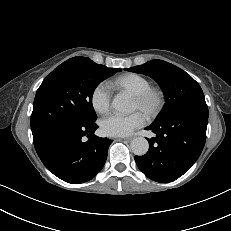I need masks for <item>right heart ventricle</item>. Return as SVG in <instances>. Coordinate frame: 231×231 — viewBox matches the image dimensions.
<instances>
[{
  "mask_svg": "<svg viewBox=\"0 0 231 231\" xmlns=\"http://www.w3.org/2000/svg\"><path fill=\"white\" fill-rule=\"evenodd\" d=\"M109 86L112 89L127 91L133 95L150 87L151 82L141 74L129 72L114 78L109 82Z\"/></svg>",
  "mask_w": 231,
  "mask_h": 231,
  "instance_id": "right-heart-ventricle-1",
  "label": "right heart ventricle"
}]
</instances>
